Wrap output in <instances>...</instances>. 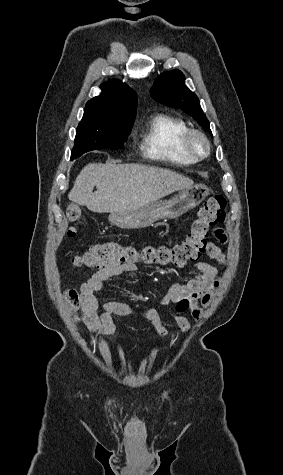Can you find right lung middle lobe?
I'll return each instance as SVG.
<instances>
[{
	"label": "right lung middle lobe",
	"instance_id": "obj_1",
	"mask_svg": "<svg viewBox=\"0 0 283 475\" xmlns=\"http://www.w3.org/2000/svg\"><path fill=\"white\" fill-rule=\"evenodd\" d=\"M136 115V105L116 107L86 105L77 127L71 159L97 149H121Z\"/></svg>",
	"mask_w": 283,
	"mask_h": 475
}]
</instances>
